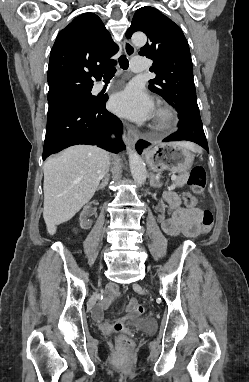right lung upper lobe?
I'll return each mask as SVG.
<instances>
[{"label":"right lung upper lobe","mask_w":249,"mask_h":382,"mask_svg":"<svg viewBox=\"0 0 249 382\" xmlns=\"http://www.w3.org/2000/svg\"><path fill=\"white\" fill-rule=\"evenodd\" d=\"M119 50L101 19L93 13L76 17L58 34L48 68V102L92 89L93 77L116 63Z\"/></svg>","instance_id":"1"}]
</instances>
